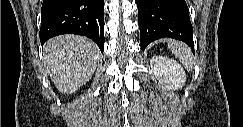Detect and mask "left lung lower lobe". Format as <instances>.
Returning <instances> with one entry per match:
<instances>
[{"instance_id": "0a47b994", "label": "left lung lower lobe", "mask_w": 243, "mask_h": 127, "mask_svg": "<svg viewBox=\"0 0 243 127\" xmlns=\"http://www.w3.org/2000/svg\"><path fill=\"white\" fill-rule=\"evenodd\" d=\"M142 51L160 38L185 42L194 53L193 28L185 0H137Z\"/></svg>"}]
</instances>
